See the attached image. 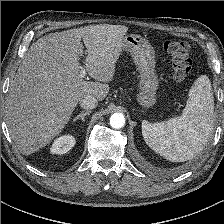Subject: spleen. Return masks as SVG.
I'll return each mask as SVG.
<instances>
[{
	"instance_id": "1",
	"label": "spleen",
	"mask_w": 224,
	"mask_h": 224,
	"mask_svg": "<svg viewBox=\"0 0 224 224\" xmlns=\"http://www.w3.org/2000/svg\"><path fill=\"white\" fill-rule=\"evenodd\" d=\"M214 100L211 83L206 75L195 80L189 91L182 115L165 122H142L146 144L172 162L194 158L207 144L213 129Z\"/></svg>"
}]
</instances>
